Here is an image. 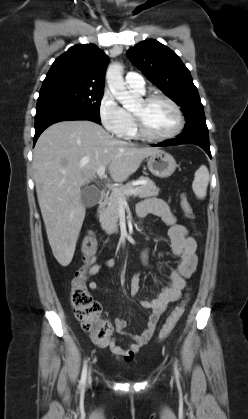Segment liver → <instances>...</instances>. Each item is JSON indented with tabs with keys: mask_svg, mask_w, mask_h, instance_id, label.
<instances>
[{
	"mask_svg": "<svg viewBox=\"0 0 248 419\" xmlns=\"http://www.w3.org/2000/svg\"><path fill=\"white\" fill-rule=\"evenodd\" d=\"M159 151L118 140L87 120L59 122L41 134L33 152L34 180L48 241L60 265L71 263L85 218L81 187L96 178L101 166L108 167L114 181L123 182Z\"/></svg>",
	"mask_w": 248,
	"mask_h": 419,
	"instance_id": "1",
	"label": "liver"
}]
</instances>
